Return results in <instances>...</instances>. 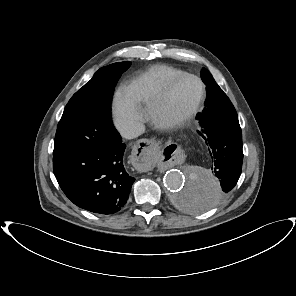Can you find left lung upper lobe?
Wrapping results in <instances>:
<instances>
[{
    "mask_svg": "<svg viewBox=\"0 0 296 296\" xmlns=\"http://www.w3.org/2000/svg\"><path fill=\"white\" fill-rule=\"evenodd\" d=\"M201 77L207 86V98L205 101V107H208L213 100L224 95L225 93L220 89V87L212 77L211 73L207 69H202Z\"/></svg>",
    "mask_w": 296,
    "mask_h": 296,
    "instance_id": "left-lung-upper-lobe-1",
    "label": "left lung upper lobe"
}]
</instances>
